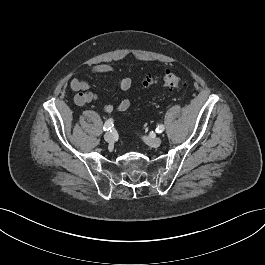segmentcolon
Instances as JSON below:
<instances>
[{
	"mask_svg": "<svg viewBox=\"0 0 265 265\" xmlns=\"http://www.w3.org/2000/svg\"><path fill=\"white\" fill-rule=\"evenodd\" d=\"M158 83L168 89H180L187 86V82L182 77L170 71L166 72L160 80L152 74H146L143 79V84L147 87L154 86Z\"/></svg>",
	"mask_w": 265,
	"mask_h": 265,
	"instance_id": "1",
	"label": "colon"
}]
</instances>
